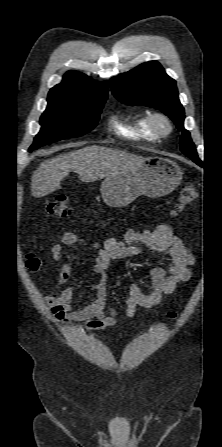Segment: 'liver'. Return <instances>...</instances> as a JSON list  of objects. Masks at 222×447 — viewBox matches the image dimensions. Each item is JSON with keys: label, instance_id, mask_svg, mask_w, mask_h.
Listing matches in <instances>:
<instances>
[{"label": "liver", "instance_id": "1", "mask_svg": "<svg viewBox=\"0 0 222 447\" xmlns=\"http://www.w3.org/2000/svg\"><path fill=\"white\" fill-rule=\"evenodd\" d=\"M144 161L125 151L87 146L44 161L32 176L31 194L41 198L61 188V181L76 172L82 182H93L111 174L133 169Z\"/></svg>", "mask_w": 222, "mask_h": 447}]
</instances>
